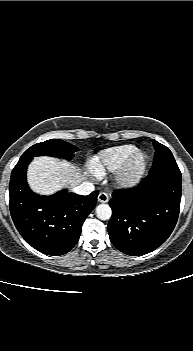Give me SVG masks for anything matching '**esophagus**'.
I'll return each mask as SVG.
<instances>
[{"instance_id": "obj_1", "label": "esophagus", "mask_w": 193, "mask_h": 351, "mask_svg": "<svg viewBox=\"0 0 193 351\" xmlns=\"http://www.w3.org/2000/svg\"><path fill=\"white\" fill-rule=\"evenodd\" d=\"M109 200V195L105 192H100L99 195H98V201L99 202H102V203H105V202H108Z\"/></svg>"}]
</instances>
